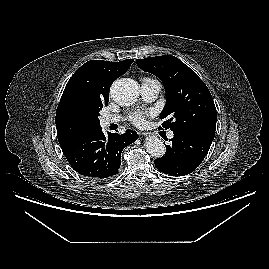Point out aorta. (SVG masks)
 <instances>
[{"instance_id": "1", "label": "aorta", "mask_w": 269, "mask_h": 269, "mask_svg": "<svg viewBox=\"0 0 269 269\" xmlns=\"http://www.w3.org/2000/svg\"><path fill=\"white\" fill-rule=\"evenodd\" d=\"M110 94L113 100L119 105L129 106L137 100L139 87L136 81L129 78H122L112 84ZM145 147L147 152L155 158L163 157L166 152L163 141L155 136L145 139Z\"/></svg>"}]
</instances>
